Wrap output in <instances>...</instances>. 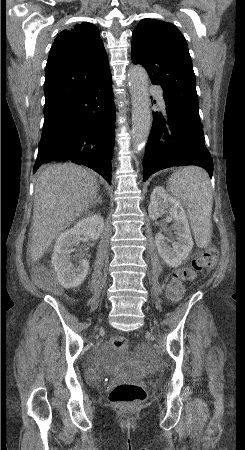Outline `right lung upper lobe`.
<instances>
[{
	"label": "right lung upper lobe",
	"instance_id": "obj_1",
	"mask_svg": "<svg viewBox=\"0 0 245 450\" xmlns=\"http://www.w3.org/2000/svg\"><path fill=\"white\" fill-rule=\"evenodd\" d=\"M99 34L95 25L82 22L57 36L46 64L44 112L110 73Z\"/></svg>",
	"mask_w": 245,
	"mask_h": 450
}]
</instances>
